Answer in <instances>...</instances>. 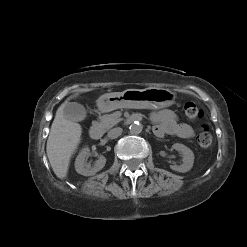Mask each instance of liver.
Here are the masks:
<instances>
[{"label": "liver", "mask_w": 247, "mask_h": 247, "mask_svg": "<svg viewBox=\"0 0 247 247\" xmlns=\"http://www.w3.org/2000/svg\"><path fill=\"white\" fill-rule=\"evenodd\" d=\"M66 103L68 102L61 104L56 111L46 146L51 167L60 179L67 177L70 159L77 150L82 135L81 125L65 118L63 111Z\"/></svg>", "instance_id": "6515ba94"}]
</instances>
